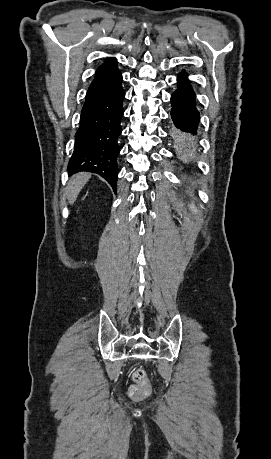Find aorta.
I'll use <instances>...</instances> for the list:
<instances>
[{"label": "aorta", "instance_id": "obj_1", "mask_svg": "<svg viewBox=\"0 0 271 459\" xmlns=\"http://www.w3.org/2000/svg\"><path fill=\"white\" fill-rule=\"evenodd\" d=\"M174 143L176 153L179 155L180 159L189 161L195 157L198 145L193 136L182 132H175Z\"/></svg>", "mask_w": 271, "mask_h": 459}]
</instances>
